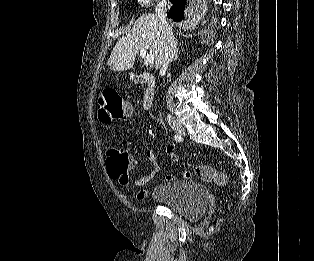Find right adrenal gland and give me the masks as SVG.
Here are the masks:
<instances>
[{"label": "right adrenal gland", "mask_w": 314, "mask_h": 261, "mask_svg": "<svg viewBox=\"0 0 314 261\" xmlns=\"http://www.w3.org/2000/svg\"><path fill=\"white\" fill-rule=\"evenodd\" d=\"M177 59H178V49H177V51H176L174 60L176 61Z\"/></svg>", "instance_id": "2a0ac1e0"}]
</instances>
